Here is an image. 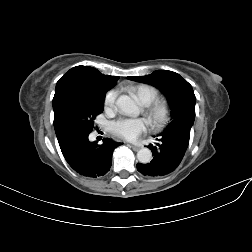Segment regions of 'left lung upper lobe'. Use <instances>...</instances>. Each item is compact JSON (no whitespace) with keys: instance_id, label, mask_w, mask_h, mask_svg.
<instances>
[{"instance_id":"1","label":"left lung upper lobe","mask_w":252,"mask_h":252,"mask_svg":"<svg viewBox=\"0 0 252 252\" xmlns=\"http://www.w3.org/2000/svg\"><path fill=\"white\" fill-rule=\"evenodd\" d=\"M128 79L153 85L165 94L171 109L172 121L164 132L178 127L191 129L195 119L196 97L192 86L179 74L158 70L150 75L130 76Z\"/></svg>"}]
</instances>
